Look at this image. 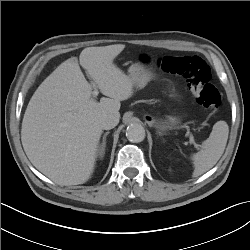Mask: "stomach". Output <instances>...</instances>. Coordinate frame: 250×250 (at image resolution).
Here are the masks:
<instances>
[{
  "label": "stomach",
  "mask_w": 250,
  "mask_h": 250,
  "mask_svg": "<svg viewBox=\"0 0 250 250\" xmlns=\"http://www.w3.org/2000/svg\"><path fill=\"white\" fill-rule=\"evenodd\" d=\"M129 77L133 81V85L136 88H143L152 79L153 74L149 68L142 64H133L130 66ZM153 124L157 126L161 131L165 130L169 125L174 126L179 123L176 117H169L166 124L157 123L154 119L151 120Z\"/></svg>",
  "instance_id": "1"
}]
</instances>
